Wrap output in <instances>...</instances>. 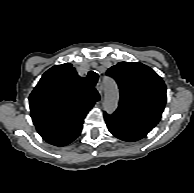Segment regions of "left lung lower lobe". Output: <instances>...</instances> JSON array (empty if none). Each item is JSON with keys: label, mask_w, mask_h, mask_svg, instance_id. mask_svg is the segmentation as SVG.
Returning a JSON list of instances; mask_svg holds the SVG:
<instances>
[{"label": "left lung lower lobe", "mask_w": 194, "mask_h": 193, "mask_svg": "<svg viewBox=\"0 0 194 193\" xmlns=\"http://www.w3.org/2000/svg\"><path fill=\"white\" fill-rule=\"evenodd\" d=\"M104 119L109 131L123 141L134 142L140 140L152 130L150 126L115 114L107 115L105 113Z\"/></svg>", "instance_id": "obj_1"}]
</instances>
